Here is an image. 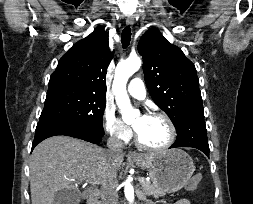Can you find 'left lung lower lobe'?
Wrapping results in <instances>:
<instances>
[{
    "instance_id": "obj_1",
    "label": "left lung lower lobe",
    "mask_w": 253,
    "mask_h": 204,
    "mask_svg": "<svg viewBox=\"0 0 253 204\" xmlns=\"http://www.w3.org/2000/svg\"><path fill=\"white\" fill-rule=\"evenodd\" d=\"M176 131V141L170 148L193 147L209 156L207 130L203 112H197L187 117Z\"/></svg>"
}]
</instances>
